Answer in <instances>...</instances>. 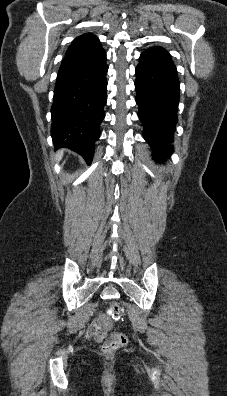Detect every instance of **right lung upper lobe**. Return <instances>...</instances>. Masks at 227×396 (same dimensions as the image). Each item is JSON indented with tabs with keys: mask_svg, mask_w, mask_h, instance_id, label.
Wrapping results in <instances>:
<instances>
[{
	"mask_svg": "<svg viewBox=\"0 0 227 396\" xmlns=\"http://www.w3.org/2000/svg\"><path fill=\"white\" fill-rule=\"evenodd\" d=\"M98 41H99V39L92 33H85V34L75 38L71 45L90 43V42H98Z\"/></svg>",
	"mask_w": 227,
	"mask_h": 396,
	"instance_id": "right-lung-upper-lobe-1",
	"label": "right lung upper lobe"
}]
</instances>
